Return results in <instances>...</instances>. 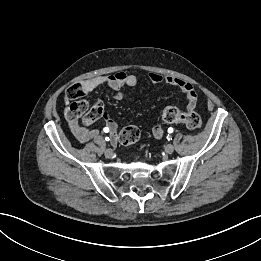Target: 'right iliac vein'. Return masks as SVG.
<instances>
[{"label":"right iliac vein","instance_id":"right-iliac-vein-1","mask_svg":"<svg viewBox=\"0 0 261 261\" xmlns=\"http://www.w3.org/2000/svg\"><path fill=\"white\" fill-rule=\"evenodd\" d=\"M105 156L111 158L113 156V151L111 149L105 150Z\"/></svg>","mask_w":261,"mask_h":261}]
</instances>
